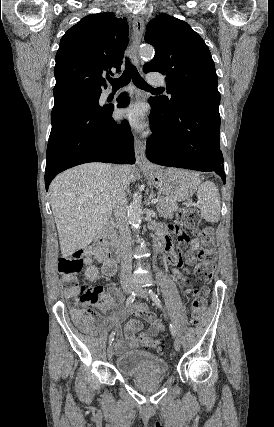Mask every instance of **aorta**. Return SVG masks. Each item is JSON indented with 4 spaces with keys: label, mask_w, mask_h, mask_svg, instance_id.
<instances>
[{
    "label": "aorta",
    "mask_w": 274,
    "mask_h": 427,
    "mask_svg": "<svg viewBox=\"0 0 274 427\" xmlns=\"http://www.w3.org/2000/svg\"><path fill=\"white\" fill-rule=\"evenodd\" d=\"M139 54L141 57L151 59L154 56V49L151 46H144L140 49ZM141 195L137 194L133 197V201L128 207V222L131 225L132 229L136 232L139 231L141 223ZM144 246V242H141V247Z\"/></svg>",
    "instance_id": "762f6f07"
}]
</instances>
